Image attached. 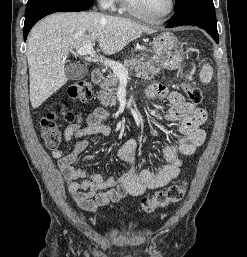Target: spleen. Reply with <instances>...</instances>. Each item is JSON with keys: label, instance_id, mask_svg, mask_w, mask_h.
Listing matches in <instances>:
<instances>
[{"label": "spleen", "instance_id": "obj_1", "mask_svg": "<svg viewBox=\"0 0 247 257\" xmlns=\"http://www.w3.org/2000/svg\"><path fill=\"white\" fill-rule=\"evenodd\" d=\"M213 76V68L206 64L203 66L201 72H200V79L203 83H209Z\"/></svg>", "mask_w": 247, "mask_h": 257}]
</instances>
